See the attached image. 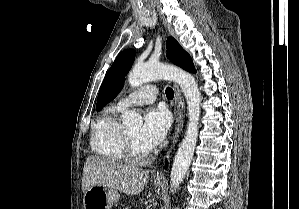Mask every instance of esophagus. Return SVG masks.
Returning <instances> with one entry per match:
<instances>
[{
	"label": "esophagus",
	"mask_w": 299,
	"mask_h": 209,
	"mask_svg": "<svg viewBox=\"0 0 299 209\" xmlns=\"http://www.w3.org/2000/svg\"><path fill=\"white\" fill-rule=\"evenodd\" d=\"M174 101H173V113H174V119H175V127L174 131L171 137V144L169 148L166 151V158H169L172 150L174 149L180 132L183 128L184 123V100L181 94V91L178 87V85L174 84ZM155 180H164V164L162 167H160L154 174Z\"/></svg>",
	"instance_id": "obj_1"
}]
</instances>
